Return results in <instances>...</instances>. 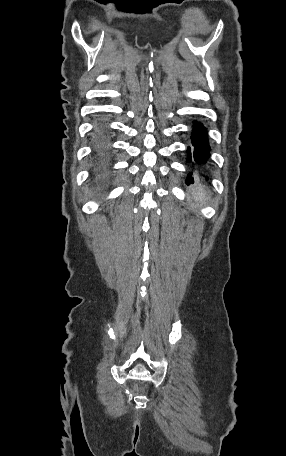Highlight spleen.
<instances>
[{
  "label": "spleen",
  "instance_id": "3e777b00",
  "mask_svg": "<svg viewBox=\"0 0 286 456\" xmlns=\"http://www.w3.org/2000/svg\"><path fill=\"white\" fill-rule=\"evenodd\" d=\"M193 198L195 201L205 204L207 193L203 190L202 186H198L193 190Z\"/></svg>",
  "mask_w": 286,
  "mask_h": 456
}]
</instances>
